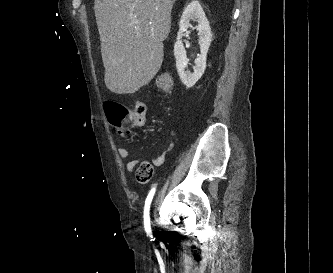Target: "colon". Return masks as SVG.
Here are the masks:
<instances>
[{"instance_id": "colon-1", "label": "colon", "mask_w": 333, "mask_h": 273, "mask_svg": "<svg viewBox=\"0 0 333 273\" xmlns=\"http://www.w3.org/2000/svg\"><path fill=\"white\" fill-rule=\"evenodd\" d=\"M156 87L159 92L167 95L173 89V79L170 73L162 72L156 79ZM104 109L110 125L118 134L124 135L136 126V118L133 112L116 101H106ZM136 179L140 183H147L153 176V167L148 161H141L136 168Z\"/></svg>"}]
</instances>
